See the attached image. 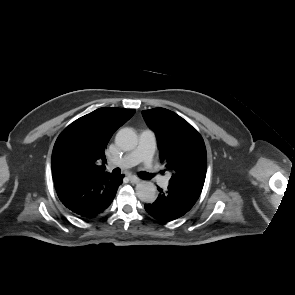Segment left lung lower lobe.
Listing matches in <instances>:
<instances>
[{"label":"left lung lower lobe","mask_w":295,"mask_h":295,"mask_svg":"<svg viewBox=\"0 0 295 295\" xmlns=\"http://www.w3.org/2000/svg\"><path fill=\"white\" fill-rule=\"evenodd\" d=\"M159 195L155 202L145 204L149 215L161 222H170L185 215L196 203L200 193L168 186L166 191L158 187Z\"/></svg>","instance_id":"0a47b994"}]
</instances>
